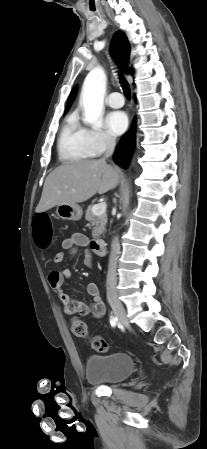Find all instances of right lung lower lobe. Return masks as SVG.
Masks as SVG:
<instances>
[{"label":"right lung lower lobe","mask_w":207,"mask_h":449,"mask_svg":"<svg viewBox=\"0 0 207 449\" xmlns=\"http://www.w3.org/2000/svg\"><path fill=\"white\" fill-rule=\"evenodd\" d=\"M135 146V120L130 131L123 135L113 155L117 165L127 168Z\"/></svg>","instance_id":"right-lung-lower-lobe-1"}]
</instances>
